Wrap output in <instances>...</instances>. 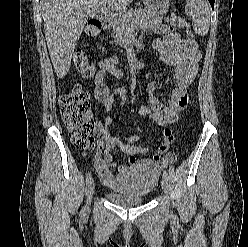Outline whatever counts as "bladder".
Wrapping results in <instances>:
<instances>
[{
    "mask_svg": "<svg viewBox=\"0 0 248 247\" xmlns=\"http://www.w3.org/2000/svg\"><path fill=\"white\" fill-rule=\"evenodd\" d=\"M156 176L147 167L126 168L115 179V190L107 194L114 203L129 207L142 204L156 186Z\"/></svg>",
    "mask_w": 248,
    "mask_h": 247,
    "instance_id": "1",
    "label": "bladder"
}]
</instances>
